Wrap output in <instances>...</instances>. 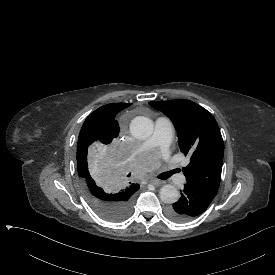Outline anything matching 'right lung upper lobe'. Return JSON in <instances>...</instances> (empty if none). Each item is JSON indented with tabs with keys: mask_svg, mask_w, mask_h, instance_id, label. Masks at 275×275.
<instances>
[{
	"mask_svg": "<svg viewBox=\"0 0 275 275\" xmlns=\"http://www.w3.org/2000/svg\"><path fill=\"white\" fill-rule=\"evenodd\" d=\"M131 103H112L102 106L92 112L85 120L78 139L77 159L81 162L87 152V148L94 142L109 144L119 134V125L115 116L118 112L130 106ZM140 186L132 183L119 195L134 194Z\"/></svg>",
	"mask_w": 275,
	"mask_h": 275,
	"instance_id": "right-lung-upper-lobe-1",
	"label": "right lung upper lobe"
}]
</instances>
